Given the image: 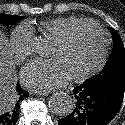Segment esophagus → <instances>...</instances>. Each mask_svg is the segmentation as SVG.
I'll use <instances>...</instances> for the list:
<instances>
[{"instance_id":"1","label":"esophagus","mask_w":125,"mask_h":125,"mask_svg":"<svg viewBox=\"0 0 125 125\" xmlns=\"http://www.w3.org/2000/svg\"><path fill=\"white\" fill-rule=\"evenodd\" d=\"M35 93H37V95H42V96H47L49 93H50V91H36Z\"/></svg>"}]
</instances>
